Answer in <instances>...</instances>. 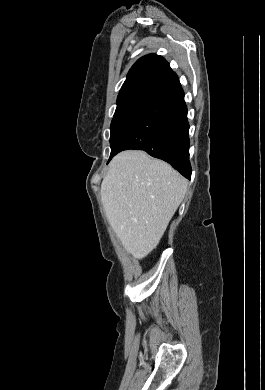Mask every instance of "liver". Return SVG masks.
<instances>
[{
	"label": "liver",
	"instance_id": "obj_1",
	"mask_svg": "<svg viewBox=\"0 0 265 390\" xmlns=\"http://www.w3.org/2000/svg\"><path fill=\"white\" fill-rule=\"evenodd\" d=\"M188 181L143 151L117 154L101 184L107 219L125 250L146 257L159 243L184 199Z\"/></svg>",
	"mask_w": 265,
	"mask_h": 390
}]
</instances>
